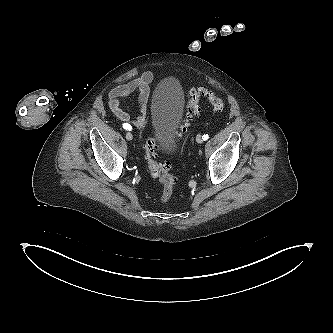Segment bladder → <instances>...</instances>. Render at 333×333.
Segmentation results:
<instances>
[{
  "label": "bladder",
  "instance_id": "bladder-1",
  "mask_svg": "<svg viewBox=\"0 0 333 333\" xmlns=\"http://www.w3.org/2000/svg\"><path fill=\"white\" fill-rule=\"evenodd\" d=\"M184 103V90L178 79L170 76L158 83L152 97L150 120L168 152L176 148L175 129L182 118Z\"/></svg>",
  "mask_w": 333,
  "mask_h": 333
}]
</instances>
